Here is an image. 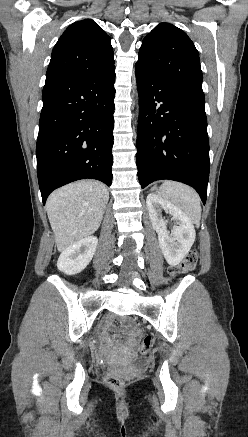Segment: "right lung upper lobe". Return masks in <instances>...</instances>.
I'll return each instance as SVG.
<instances>
[{
  "instance_id": "obj_1",
  "label": "right lung upper lobe",
  "mask_w": 248,
  "mask_h": 437,
  "mask_svg": "<svg viewBox=\"0 0 248 437\" xmlns=\"http://www.w3.org/2000/svg\"><path fill=\"white\" fill-rule=\"evenodd\" d=\"M110 38L93 20L71 24L52 51L46 79L86 77L114 66Z\"/></svg>"
}]
</instances>
